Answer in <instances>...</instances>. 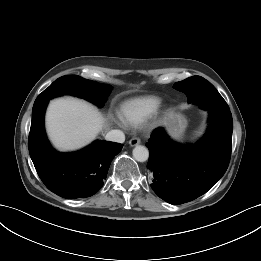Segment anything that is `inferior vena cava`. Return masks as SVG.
Listing matches in <instances>:
<instances>
[{"label": "inferior vena cava", "instance_id": "inferior-vena-cava-1", "mask_svg": "<svg viewBox=\"0 0 261 261\" xmlns=\"http://www.w3.org/2000/svg\"><path fill=\"white\" fill-rule=\"evenodd\" d=\"M105 139L107 141L123 143L125 141V135L120 130H111L106 134Z\"/></svg>", "mask_w": 261, "mask_h": 261}]
</instances>
